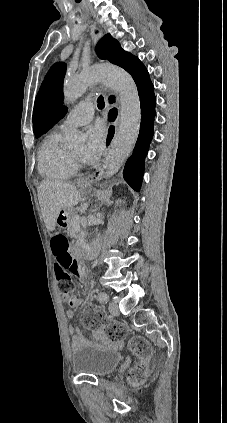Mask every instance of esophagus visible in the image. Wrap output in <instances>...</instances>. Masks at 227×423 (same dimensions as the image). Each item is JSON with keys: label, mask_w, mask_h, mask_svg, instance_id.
<instances>
[{"label": "esophagus", "mask_w": 227, "mask_h": 423, "mask_svg": "<svg viewBox=\"0 0 227 423\" xmlns=\"http://www.w3.org/2000/svg\"><path fill=\"white\" fill-rule=\"evenodd\" d=\"M89 34H90V39L94 44H96L103 36L102 30L96 24H92L90 26ZM108 128H109V131H108L107 138L102 144L103 147L106 148L104 160L107 156V152L109 148L112 146V143L114 142V136L117 134V131H116L117 127L115 124L113 123L110 124ZM101 177H102V165L94 173H92V175L85 178L84 181L87 183H93V182L99 181Z\"/></svg>", "instance_id": "34e87169"}]
</instances>
